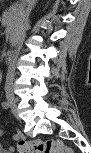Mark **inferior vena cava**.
Instances as JSON below:
<instances>
[{"label": "inferior vena cava", "instance_id": "inferior-vena-cava-1", "mask_svg": "<svg viewBox=\"0 0 91 153\" xmlns=\"http://www.w3.org/2000/svg\"><path fill=\"white\" fill-rule=\"evenodd\" d=\"M35 1L36 0H27V3H28L27 9L21 13L22 24H21L20 30L18 31L17 44L15 47L14 53H20V48L23 46L22 43L25 38V30L27 28L29 15L35 4ZM11 56L12 57H11L10 63L8 64L9 70L6 76V83H5V89L8 93H11V90H12V84L14 79V68H15V63H16L18 54H12Z\"/></svg>", "mask_w": 91, "mask_h": 153}]
</instances>
